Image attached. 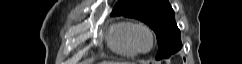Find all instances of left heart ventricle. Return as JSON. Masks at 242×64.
<instances>
[{"mask_svg": "<svg viewBox=\"0 0 242 64\" xmlns=\"http://www.w3.org/2000/svg\"><path fill=\"white\" fill-rule=\"evenodd\" d=\"M135 41L142 50H147L150 47V37L144 30H138L135 33Z\"/></svg>", "mask_w": 242, "mask_h": 64, "instance_id": "1", "label": "left heart ventricle"}]
</instances>
